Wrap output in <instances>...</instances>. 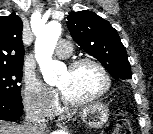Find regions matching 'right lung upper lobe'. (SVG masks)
I'll return each instance as SVG.
<instances>
[{
  "mask_svg": "<svg viewBox=\"0 0 153 134\" xmlns=\"http://www.w3.org/2000/svg\"><path fill=\"white\" fill-rule=\"evenodd\" d=\"M22 28L16 14L0 17V67L23 66Z\"/></svg>",
  "mask_w": 153,
  "mask_h": 134,
  "instance_id": "1",
  "label": "right lung upper lobe"
}]
</instances>
